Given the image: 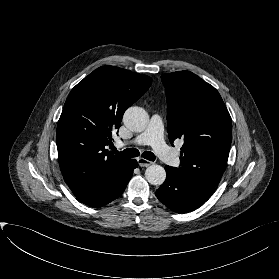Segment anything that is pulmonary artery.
I'll list each match as a JSON object with an SVG mask.
<instances>
[{"mask_svg":"<svg viewBox=\"0 0 279 279\" xmlns=\"http://www.w3.org/2000/svg\"><path fill=\"white\" fill-rule=\"evenodd\" d=\"M163 119L159 114H154L149 122L147 129L132 140L135 145H150L157 156L170 166H178L180 159L165 144L163 139Z\"/></svg>","mask_w":279,"mask_h":279,"instance_id":"pulmonary-artery-1","label":"pulmonary artery"}]
</instances>
